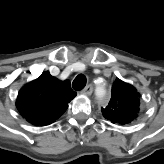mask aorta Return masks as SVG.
<instances>
[{
  "instance_id": "obj_1",
  "label": "aorta",
  "mask_w": 164,
  "mask_h": 164,
  "mask_svg": "<svg viewBox=\"0 0 164 164\" xmlns=\"http://www.w3.org/2000/svg\"><path fill=\"white\" fill-rule=\"evenodd\" d=\"M96 94H97L98 98H101V97L104 96L105 91L102 88H98L97 91H96Z\"/></svg>"
}]
</instances>
